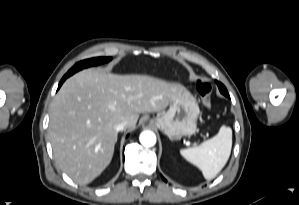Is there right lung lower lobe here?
Wrapping results in <instances>:
<instances>
[{"mask_svg":"<svg viewBox=\"0 0 299 205\" xmlns=\"http://www.w3.org/2000/svg\"><path fill=\"white\" fill-rule=\"evenodd\" d=\"M66 78H62L60 84H59V87L62 85V83L65 81Z\"/></svg>","mask_w":299,"mask_h":205,"instance_id":"right-lung-lower-lobe-1","label":"right lung lower lobe"}]
</instances>
